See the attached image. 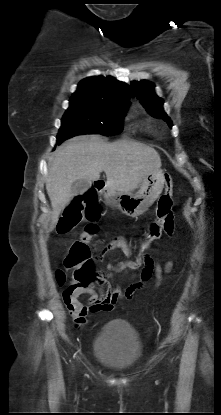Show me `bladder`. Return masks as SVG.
Wrapping results in <instances>:
<instances>
[{
  "instance_id": "bladder-1",
  "label": "bladder",
  "mask_w": 221,
  "mask_h": 415,
  "mask_svg": "<svg viewBox=\"0 0 221 415\" xmlns=\"http://www.w3.org/2000/svg\"><path fill=\"white\" fill-rule=\"evenodd\" d=\"M93 348L96 359L116 371L129 369L142 354L137 331L123 319L107 322L96 336Z\"/></svg>"
}]
</instances>
